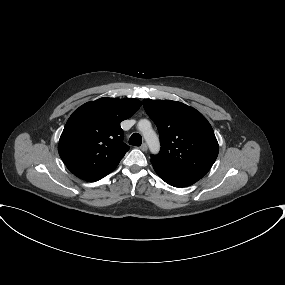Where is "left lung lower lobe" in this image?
<instances>
[{
    "mask_svg": "<svg viewBox=\"0 0 285 285\" xmlns=\"http://www.w3.org/2000/svg\"><path fill=\"white\" fill-rule=\"evenodd\" d=\"M151 163L159 177L174 187H186L200 180L204 175L183 168L169 167L151 158Z\"/></svg>",
    "mask_w": 285,
    "mask_h": 285,
    "instance_id": "obj_1",
    "label": "left lung lower lobe"
}]
</instances>
